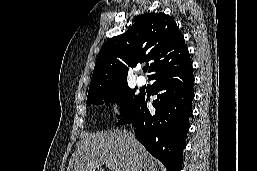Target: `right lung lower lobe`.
Instances as JSON below:
<instances>
[{
    "instance_id": "98d812e1",
    "label": "right lung lower lobe",
    "mask_w": 257,
    "mask_h": 171,
    "mask_svg": "<svg viewBox=\"0 0 257 171\" xmlns=\"http://www.w3.org/2000/svg\"><path fill=\"white\" fill-rule=\"evenodd\" d=\"M151 79L155 80L153 94H157L153 101L155 112L149 111L145 95H141L117 125L132 123L137 140L151 155L159 159L168 171H181L194 99L191 59L157 73Z\"/></svg>"
}]
</instances>
